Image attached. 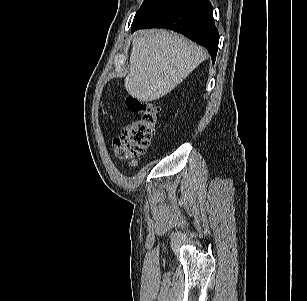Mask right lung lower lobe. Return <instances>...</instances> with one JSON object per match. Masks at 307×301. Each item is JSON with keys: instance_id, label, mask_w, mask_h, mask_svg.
I'll list each match as a JSON object with an SVG mask.
<instances>
[{"instance_id": "1", "label": "right lung lower lobe", "mask_w": 307, "mask_h": 301, "mask_svg": "<svg viewBox=\"0 0 307 301\" xmlns=\"http://www.w3.org/2000/svg\"><path fill=\"white\" fill-rule=\"evenodd\" d=\"M167 28L186 35L208 48L215 62L219 33L208 0H167L161 6L132 23V31L144 28Z\"/></svg>"}]
</instances>
